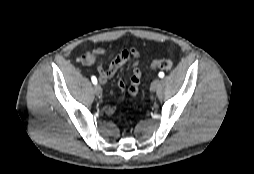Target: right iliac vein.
I'll use <instances>...</instances> for the list:
<instances>
[{"instance_id": "right-iliac-vein-1", "label": "right iliac vein", "mask_w": 254, "mask_h": 174, "mask_svg": "<svg viewBox=\"0 0 254 174\" xmlns=\"http://www.w3.org/2000/svg\"><path fill=\"white\" fill-rule=\"evenodd\" d=\"M94 93H95L96 96H101L102 89H101V87L99 85H95L94 86Z\"/></svg>"}]
</instances>
